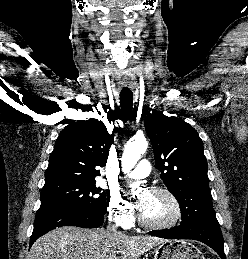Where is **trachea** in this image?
Returning a JSON list of instances; mask_svg holds the SVG:
<instances>
[{"instance_id":"1","label":"trachea","mask_w":248,"mask_h":259,"mask_svg":"<svg viewBox=\"0 0 248 259\" xmlns=\"http://www.w3.org/2000/svg\"><path fill=\"white\" fill-rule=\"evenodd\" d=\"M120 104L125 119H129L132 113L133 93L131 91L120 92Z\"/></svg>"}]
</instances>
